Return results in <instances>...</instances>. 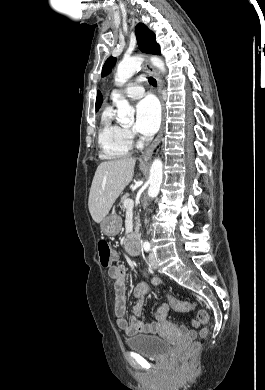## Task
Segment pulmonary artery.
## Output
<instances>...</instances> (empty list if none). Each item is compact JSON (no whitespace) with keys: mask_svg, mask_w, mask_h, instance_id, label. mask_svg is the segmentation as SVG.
<instances>
[{"mask_svg":"<svg viewBox=\"0 0 265 390\" xmlns=\"http://www.w3.org/2000/svg\"><path fill=\"white\" fill-rule=\"evenodd\" d=\"M143 81H144L143 78H137L134 81L128 83V85L123 89L116 88L112 91L111 97L114 99L121 95H125L132 99L141 98L145 93V89L141 85Z\"/></svg>","mask_w":265,"mask_h":390,"instance_id":"obj_1","label":"pulmonary artery"}]
</instances>
